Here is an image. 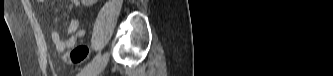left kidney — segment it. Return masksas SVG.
I'll list each match as a JSON object with an SVG mask.
<instances>
[{"label": "left kidney", "instance_id": "left-kidney-1", "mask_svg": "<svg viewBox=\"0 0 333 76\" xmlns=\"http://www.w3.org/2000/svg\"><path fill=\"white\" fill-rule=\"evenodd\" d=\"M95 0H91V2L93 3ZM84 2V1H83Z\"/></svg>", "mask_w": 333, "mask_h": 76}]
</instances>
